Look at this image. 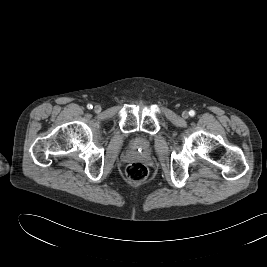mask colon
I'll return each instance as SVG.
<instances>
[{"label":"colon","instance_id":"colon-1","mask_svg":"<svg viewBox=\"0 0 267 267\" xmlns=\"http://www.w3.org/2000/svg\"><path fill=\"white\" fill-rule=\"evenodd\" d=\"M126 174L129 180L138 183L147 178L148 169L143 163L134 162L128 165Z\"/></svg>","mask_w":267,"mask_h":267}]
</instances>
